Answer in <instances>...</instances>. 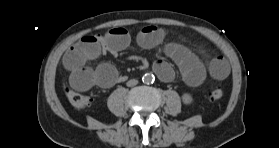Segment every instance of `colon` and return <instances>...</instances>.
<instances>
[{"mask_svg":"<svg viewBox=\"0 0 279 148\" xmlns=\"http://www.w3.org/2000/svg\"><path fill=\"white\" fill-rule=\"evenodd\" d=\"M67 97L71 105L77 110H84L90 104V98L86 95L77 93L73 90H66ZM224 91L221 88H215L208 92L207 98L210 101H216L223 97Z\"/></svg>","mask_w":279,"mask_h":148,"instance_id":"5ec220e1","label":"colon"}]
</instances>
